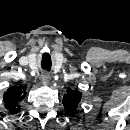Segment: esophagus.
I'll return each instance as SVG.
<instances>
[{
  "label": "esophagus",
  "mask_w": 130,
  "mask_h": 130,
  "mask_svg": "<svg viewBox=\"0 0 130 130\" xmlns=\"http://www.w3.org/2000/svg\"><path fill=\"white\" fill-rule=\"evenodd\" d=\"M41 81L44 83V84H48L49 81H50V75L47 73V72H43L41 74Z\"/></svg>",
  "instance_id": "34e87169"
}]
</instances>
